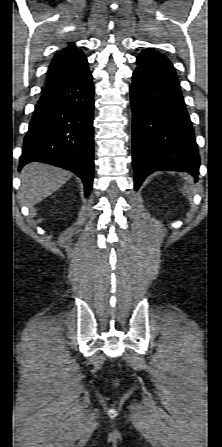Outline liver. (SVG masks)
Returning <instances> with one entry per match:
<instances>
[{
	"mask_svg": "<svg viewBox=\"0 0 222 447\" xmlns=\"http://www.w3.org/2000/svg\"><path fill=\"white\" fill-rule=\"evenodd\" d=\"M70 177L67 170L43 163H29L20 175V197L25 205L33 207L58 190Z\"/></svg>",
	"mask_w": 222,
	"mask_h": 447,
	"instance_id": "1",
	"label": "liver"
}]
</instances>
